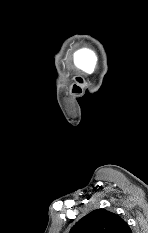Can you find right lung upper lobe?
<instances>
[{
  "label": "right lung upper lobe",
  "mask_w": 148,
  "mask_h": 233,
  "mask_svg": "<svg viewBox=\"0 0 148 233\" xmlns=\"http://www.w3.org/2000/svg\"><path fill=\"white\" fill-rule=\"evenodd\" d=\"M69 233H131V229L118 215L97 209L80 219Z\"/></svg>",
  "instance_id": "1"
}]
</instances>
